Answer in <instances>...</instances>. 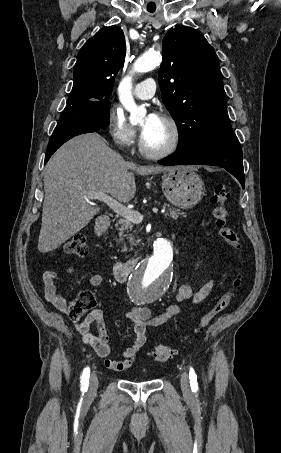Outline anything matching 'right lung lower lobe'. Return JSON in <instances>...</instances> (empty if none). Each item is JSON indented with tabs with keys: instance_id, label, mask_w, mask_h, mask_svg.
<instances>
[{
	"instance_id": "1",
	"label": "right lung lower lobe",
	"mask_w": 281,
	"mask_h": 453,
	"mask_svg": "<svg viewBox=\"0 0 281 453\" xmlns=\"http://www.w3.org/2000/svg\"><path fill=\"white\" fill-rule=\"evenodd\" d=\"M109 110L110 103L66 106L50 138L44 164L62 144L72 137L106 128Z\"/></svg>"
}]
</instances>
